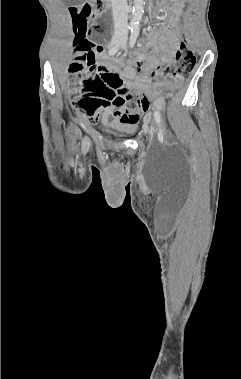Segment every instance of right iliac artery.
I'll use <instances>...</instances> for the list:
<instances>
[{
    "label": "right iliac artery",
    "instance_id": "82829eb1",
    "mask_svg": "<svg viewBox=\"0 0 241 379\" xmlns=\"http://www.w3.org/2000/svg\"><path fill=\"white\" fill-rule=\"evenodd\" d=\"M122 43H119L118 45L112 47L110 50H109V55H114L118 52L120 46H121Z\"/></svg>",
    "mask_w": 241,
    "mask_h": 379
}]
</instances>
